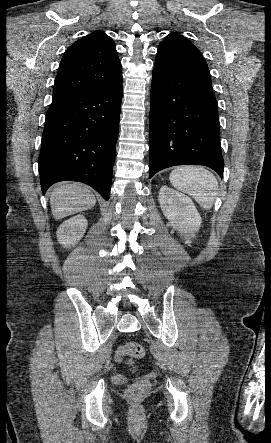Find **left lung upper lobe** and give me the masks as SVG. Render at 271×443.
I'll return each instance as SVG.
<instances>
[{"label": "left lung upper lobe", "instance_id": "5c2ea615", "mask_svg": "<svg viewBox=\"0 0 271 443\" xmlns=\"http://www.w3.org/2000/svg\"><path fill=\"white\" fill-rule=\"evenodd\" d=\"M159 47H176L201 54L200 51L188 39L175 32L167 35L164 41L160 43Z\"/></svg>", "mask_w": 271, "mask_h": 443}]
</instances>
